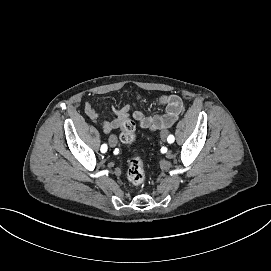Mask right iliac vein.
Masks as SVG:
<instances>
[{
	"label": "right iliac vein",
	"mask_w": 271,
	"mask_h": 271,
	"mask_svg": "<svg viewBox=\"0 0 271 271\" xmlns=\"http://www.w3.org/2000/svg\"><path fill=\"white\" fill-rule=\"evenodd\" d=\"M117 143H118V139L114 135L110 136L109 145L111 147H115L117 145Z\"/></svg>",
	"instance_id": "obj_1"
}]
</instances>
